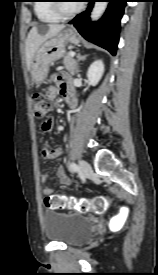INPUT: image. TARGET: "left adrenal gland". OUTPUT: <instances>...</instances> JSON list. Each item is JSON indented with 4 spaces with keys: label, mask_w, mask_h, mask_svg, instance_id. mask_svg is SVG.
Returning <instances> with one entry per match:
<instances>
[{
    "label": "left adrenal gland",
    "mask_w": 158,
    "mask_h": 275,
    "mask_svg": "<svg viewBox=\"0 0 158 275\" xmlns=\"http://www.w3.org/2000/svg\"><path fill=\"white\" fill-rule=\"evenodd\" d=\"M86 57H87V55H81L80 54V52L77 54V61L79 62V61H83V60H85L86 59ZM79 72V68H78V66H77V69H76V73H78Z\"/></svg>",
    "instance_id": "1"
}]
</instances>
